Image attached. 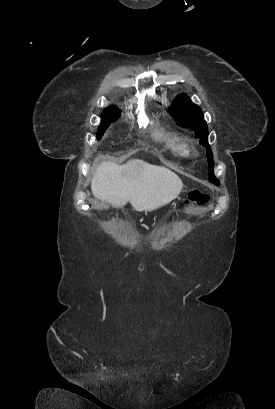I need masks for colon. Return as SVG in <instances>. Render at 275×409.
Listing matches in <instances>:
<instances>
[{"label": "colon", "instance_id": "obj_1", "mask_svg": "<svg viewBox=\"0 0 275 409\" xmlns=\"http://www.w3.org/2000/svg\"><path fill=\"white\" fill-rule=\"evenodd\" d=\"M208 196L202 193L199 190L192 191L189 193L188 198L186 199V204L196 203V204H205L208 202Z\"/></svg>", "mask_w": 275, "mask_h": 409}]
</instances>
